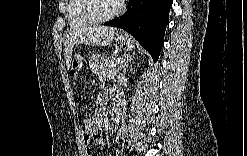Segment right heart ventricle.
<instances>
[{"label":"right heart ventricle","instance_id":"right-heart-ventricle-1","mask_svg":"<svg viewBox=\"0 0 247 156\" xmlns=\"http://www.w3.org/2000/svg\"><path fill=\"white\" fill-rule=\"evenodd\" d=\"M82 3L83 0L69 1L67 8V17H68V23L71 28H82L91 24L82 15Z\"/></svg>","mask_w":247,"mask_h":156}]
</instances>
